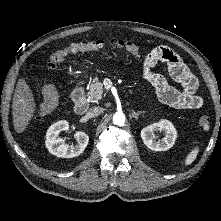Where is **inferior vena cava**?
<instances>
[{"label": "inferior vena cava", "instance_id": "obj_1", "mask_svg": "<svg viewBox=\"0 0 221 221\" xmlns=\"http://www.w3.org/2000/svg\"><path fill=\"white\" fill-rule=\"evenodd\" d=\"M101 112L102 110L100 107H92L88 110V112L86 113V116L88 118H93V117L100 115Z\"/></svg>", "mask_w": 221, "mask_h": 221}]
</instances>
